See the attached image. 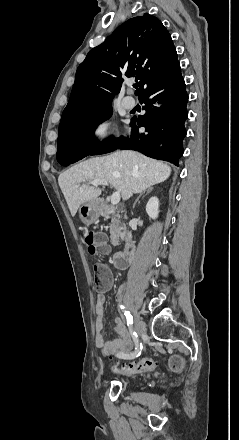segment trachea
Returning a JSON list of instances; mask_svg holds the SVG:
<instances>
[{"label":"trachea","instance_id":"3493384b","mask_svg":"<svg viewBox=\"0 0 239 440\" xmlns=\"http://www.w3.org/2000/svg\"><path fill=\"white\" fill-rule=\"evenodd\" d=\"M134 88H138V85H134Z\"/></svg>","mask_w":239,"mask_h":440}]
</instances>
